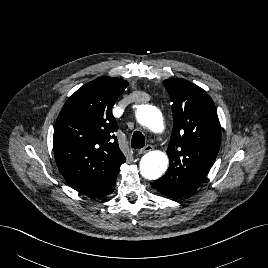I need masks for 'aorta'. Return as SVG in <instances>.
I'll list each match as a JSON object with an SVG mask.
<instances>
[{"label": "aorta", "mask_w": 268, "mask_h": 268, "mask_svg": "<svg viewBox=\"0 0 268 268\" xmlns=\"http://www.w3.org/2000/svg\"><path fill=\"white\" fill-rule=\"evenodd\" d=\"M138 123L154 133L164 130V120L159 109L151 105H141L136 112ZM169 159L162 151H150L145 154L139 165L141 175L149 180L160 178L168 168Z\"/></svg>", "instance_id": "aorta-1"}]
</instances>
